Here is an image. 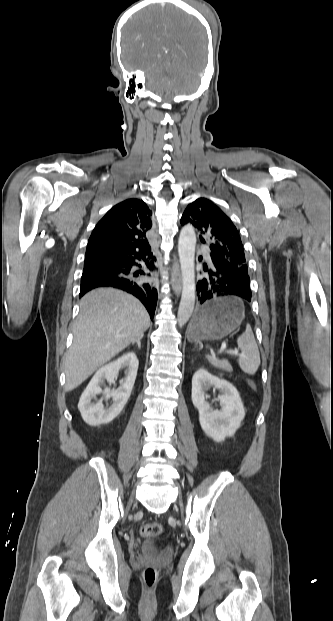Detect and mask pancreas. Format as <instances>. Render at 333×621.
I'll use <instances>...</instances> for the list:
<instances>
[{
  "instance_id": "obj_1",
  "label": "pancreas",
  "mask_w": 333,
  "mask_h": 621,
  "mask_svg": "<svg viewBox=\"0 0 333 621\" xmlns=\"http://www.w3.org/2000/svg\"><path fill=\"white\" fill-rule=\"evenodd\" d=\"M207 359L216 368L225 370L227 372H232L233 370L227 359H218L215 356H209Z\"/></svg>"
}]
</instances>
